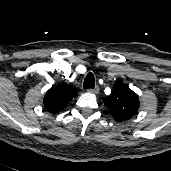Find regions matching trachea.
<instances>
[{
    "label": "trachea",
    "mask_w": 171,
    "mask_h": 171,
    "mask_svg": "<svg viewBox=\"0 0 171 171\" xmlns=\"http://www.w3.org/2000/svg\"><path fill=\"white\" fill-rule=\"evenodd\" d=\"M95 87V77L94 74L89 72L83 82V88L87 89V88H94Z\"/></svg>",
    "instance_id": "3493384b"
}]
</instances>
